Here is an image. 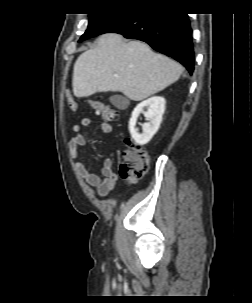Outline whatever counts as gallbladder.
Wrapping results in <instances>:
<instances>
[{"label":"gallbladder","mask_w":252,"mask_h":303,"mask_svg":"<svg viewBox=\"0 0 252 303\" xmlns=\"http://www.w3.org/2000/svg\"><path fill=\"white\" fill-rule=\"evenodd\" d=\"M109 100L118 109H124L128 105V99L122 95H113Z\"/></svg>","instance_id":"bac80fb5"}]
</instances>
